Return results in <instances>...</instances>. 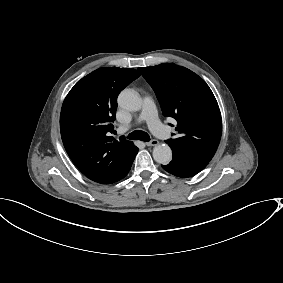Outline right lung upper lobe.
<instances>
[{
    "instance_id": "cb5924a9",
    "label": "right lung upper lobe",
    "mask_w": 283,
    "mask_h": 283,
    "mask_svg": "<svg viewBox=\"0 0 283 283\" xmlns=\"http://www.w3.org/2000/svg\"><path fill=\"white\" fill-rule=\"evenodd\" d=\"M140 74L130 68H99L70 90L60 115L61 137L69 157L89 179L116 182L128 170L138 148L109 136L114 126L117 96Z\"/></svg>"
}]
</instances>
